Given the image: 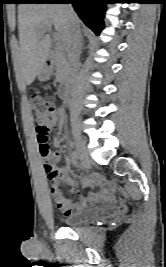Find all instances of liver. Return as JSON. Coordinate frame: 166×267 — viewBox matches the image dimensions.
<instances>
[{"instance_id":"obj_1","label":"liver","mask_w":166,"mask_h":267,"mask_svg":"<svg viewBox=\"0 0 166 267\" xmlns=\"http://www.w3.org/2000/svg\"><path fill=\"white\" fill-rule=\"evenodd\" d=\"M52 25L66 44L67 17L63 5L25 3L18 6L19 49L15 69L17 79L24 86L33 83L50 56L51 38L43 31Z\"/></svg>"}]
</instances>
